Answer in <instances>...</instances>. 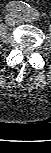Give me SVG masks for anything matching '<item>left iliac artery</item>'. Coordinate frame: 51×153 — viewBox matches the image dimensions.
Here are the masks:
<instances>
[{
    "label": "left iliac artery",
    "mask_w": 51,
    "mask_h": 153,
    "mask_svg": "<svg viewBox=\"0 0 51 153\" xmlns=\"http://www.w3.org/2000/svg\"><path fill=\"white\" fill-rule=\"evenodd\" d=\"M27 21H34L37 17V11L28 5L27 11L24 13Z\"/></svg>",
    "instance_id": "left-iliac-artery-1"
}]
</instances>
